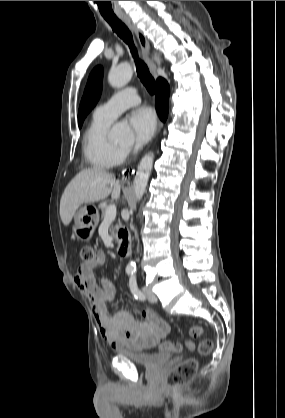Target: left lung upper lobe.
<instances>
[{"label": "left lung upper lobe", "mask_w": 285, "mask_h": 418, "mask_svg": "<svg viewBox=\"0 0 285 418\" xmlns=\"http://www.w3.org/2000/svg\"><path fill=\"white\" fill-rule=\"evenodd\" d=\"M102 77L103 69L101 66H97L91 72L88 82L84 91L83 98L80 103L79 113H78V124L79 127L82 126L84 118L86 115L93 109L96 105L98 99L101 95L102 90Z\"/></svg>", "instance_id": "obj_1"}]
</instances>
